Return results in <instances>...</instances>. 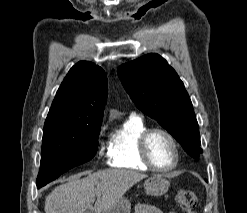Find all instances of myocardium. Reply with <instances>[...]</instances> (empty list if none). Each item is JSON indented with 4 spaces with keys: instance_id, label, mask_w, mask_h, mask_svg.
Instances as JSON below:
<instances>
[{
    "instance_id": "obj_1",
    "label": "myocardium",
    "mask_w": 247,
    "mask_h": 213,
    "mask_svg": "<svg viewBox=\"0 0 247 213\" xmlns=\"http://www.w3.org/2000/svg\"><path fill=\"white\" fill-rule=\"evenodd\" d=\"M155 133H160V134L165 135L172 144V147L174 150V162L171 166L167 168H161V167L156 166L150 158V155L148 152V142H149L150 137ZM138 152H139V157L142 160V162L149 169L156 171V172H161V173L170 172L177 167L180 161V149H179L177 140L168 130L159 128V127L147 129L141 134L139 141H138Z\"/></svg>"
}]
</instances>
